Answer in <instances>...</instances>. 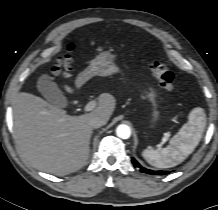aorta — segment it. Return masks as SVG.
Here are the masks:
<instances>
[{
  "label": "aorta",
  "mask_w": 218,
  "mask_h": 210,
  "mask_svg": "<svg viewBox=\"0 0 218 210\" xmlns=\"http://www.w3.org/2000/svg\"><path fill=\"white\" fill-rule=\"evenodd\" d=\"M116 134L121 139H128L131 135V130L129 126L121 124L117 127Z\"/></svg>",
  "instance_id": "aorta-1"
}]
</instances>
